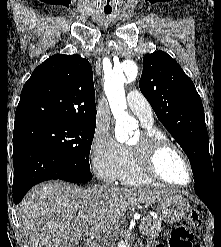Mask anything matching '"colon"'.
<instances>
[{
	"mask_svg": "<svg viewBox=\"0 0 221 247\" xmlns=\"http://www.w3.org/2000/svg\"><path fill=\"white\" fill-rule=\"evenodd\" d=\"M198 224H199V214L193 211L184 218L181 225L175 227L172 230L169 239V247H191L193 240L192 230Z\"/></svg>",
	"mask_w": 221,
	"mask_h": 247,
	"instance_id": "1",
	"label": "colon"
}]
</instances>
